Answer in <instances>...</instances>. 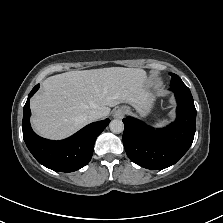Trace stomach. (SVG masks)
<instances>
[{"mask_svg": "<svg viewBox=\"0 0 223 223\" xmlns=\"http://www.w3.org/2000/svg\"><path fill=\"white\" fill-rule=\"evenodd\" d=\"M156 105L155 96L152 90L148 92L147 98L137 104H129L125 105L126 114L130 115L133 111L140 117L146 118L148 117L152 111L154 110Z\"/></svg>", "mask_w": 223, "mask_h": 223, "instance_id": "stomach-1", "label": "stomach"}]
</instances>
